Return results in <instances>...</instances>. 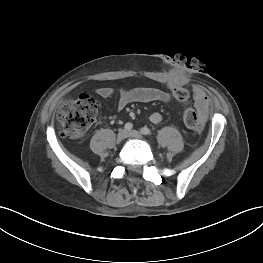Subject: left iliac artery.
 I'll use <instances>...</instances> for the list:
<instances>
[{"mask_svg":"<svg viewBox=\"0 0 263 263\" xmlns=\"http://www.w3.org/2000/svg\"><path fill=\"white\" fill-rule=\"evenodd\" d=\"M141 133L144 135H149V134H151V131L147 127H143V128H141Z\"/></svg>","mask_w":263,"mask_h":263,"instance_id":"1","label":"left iliac artery"}]
</instances>
